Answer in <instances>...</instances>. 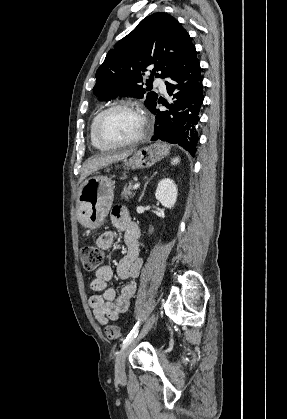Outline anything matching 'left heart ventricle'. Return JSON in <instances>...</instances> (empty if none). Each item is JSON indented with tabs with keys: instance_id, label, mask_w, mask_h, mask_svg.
I'll return each instance as SVG.
<instances>
[{
	"instance_id": "obj_1",
	"label": "left heart ventricle",
	"mask_w": 287,
	"mask_h": 419,
	"mask_svg": "<svg viewBox=\"0 0 287 419\" xmlns=\"http://www.w3.org/2000/svg\"><path fill=\"white\" fill-rule=\"evenodd\" d=\"M141 128L139 114L130 109L110 112L101 125L102 135L110 141H125L136 136Z\"/></svg>"
}]
</instances>
